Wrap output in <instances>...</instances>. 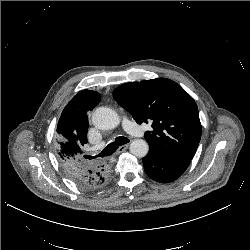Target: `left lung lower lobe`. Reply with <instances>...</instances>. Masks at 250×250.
<instances>
[{
	"instance_id": "1",
	"label": "left lung lower lobe",
	"mask_w": 250,
	"mask_h": 250,
	"mask_svg": "<svg viewBox=\"0 0 250 250\" xmlns=\"http://www.w3.org/2000/svg\"><path fill=\"white\" fill-rule=\"evenodd\" d=\"M142 161L147 176L160 183L176 180L190 164V160L169 158L150 150Z\"/></svg>"
}]
</instances>
